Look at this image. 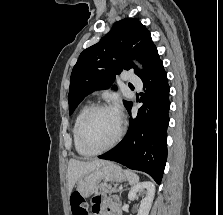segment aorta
<instances>
[{"instance_id":"762f6f07","label":"aorta","mask_w":223,"mask_h":215,"mask_svg":"<svg viewBox=\"0 0 223 215\" xmlns=\"http://www.w3.org/2000/svg\"><path fill=\"white\" fill-rule=\"evenodd\" d=\"M137 66H139V68H141L140 64H137Z\"/></svg>"}]
</instances>
